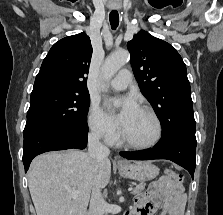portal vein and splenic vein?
<instances>
[{
  "label": "portal vein and splenic vein",
  "instance_id": "18ae733b",
  "mask_svg": "<svg viewBox=\"0 0 223 215\" xmlns=\"http://www.w3.org/2000/svg\"><path fill=\"white\" fill-rule=\"evenodd\" d=\"M133 186L132 185H130V186H128V188H126V191H133ZM78 193H80V191H78V189H74V191H72V197H73V199H75V197H78Z\"/></svg>",
  "mask_w": 223,
  "mask_h": 215
}]
</instances>
